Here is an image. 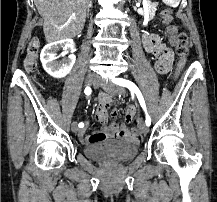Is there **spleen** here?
I'll use <instances>...</instances> for the list:
<instances>
[{
    "instance_id": "obj_1",
    "label": "spleen",
    "mask_w": 217,
    "mask_h": 202,
    "mask_svg": "<svg viewBox=\"0 0 217 202\" xmlns=\"http://www.w3.org/2000/svg\"><path fill=\"white\" fill-rule=\"evenodd\" d=\"M165 5H168V7H179L178 0H165Z\"/></svg>"
}]
</instances>
